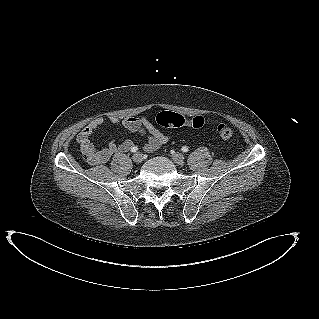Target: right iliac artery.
<instances>
[{
	"label": "right iliac artery",
	"instance_id": "1",
	"mask_svg": "<svg viewBox=\"0 0 319 319\" xmlns=\"http://www.w3.org/2000/svg\"><path fill=\"white\" fill-rule=\"evenodd\" d=\"M138 150V148L136 146H134L132 149H131V152H136Z\"/></svg>",
	"mask_w": 319,
	"mask_h": 319
}]
</instances>
